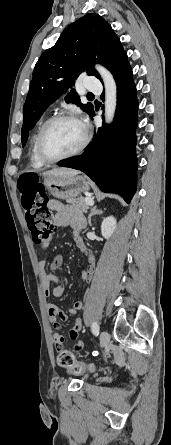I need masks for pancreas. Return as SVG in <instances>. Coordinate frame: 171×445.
I'll list each match as a JSON object with an SVG mask.
<instances>
[{
    "mask_svg": "<svg viewBox=\"0 0 171 445\" xmlns=\"http://www.w3.org/2000/svg\"><path fill=\"white\" fill-rule=\"evenodd\" d=\"M67 203L68 205L65 206V211L68 213L69 218L72 221L76 220L78 217H81L89 208L88 204L85 202V198L83 197L69 199Z\"/></svg>",
    "mask_w": 171,
    "mask_h": 445,
    "instance_id": "obj_1",
    "label": "pancreas"
}]
</instances>
